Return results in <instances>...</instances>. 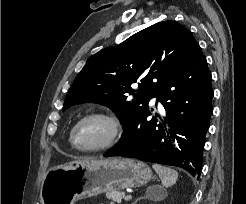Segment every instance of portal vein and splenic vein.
<instances>
[{
    "mask_svg": "<svg viewBox=\"0 0 246 204\" xmlns=\"http://www.w3.org/2000/svg\"><path fill=\"white\" fill-rule=\"evenodd\" d=\"M131 198H132L131 195H127V196L124 197L125 200H130Z\"/></svg>",
    "mask_w": 246,
    "mask_h": 204,
    "instance_id": "portal-vein-and-splenic-vein-1",
    "label": "portal vein and splenic vein"
}]
</instances>
